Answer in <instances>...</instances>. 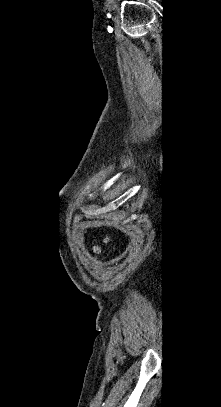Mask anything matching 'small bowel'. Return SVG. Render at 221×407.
<instances>
[{"label":"small bowel","instance_id":"c3829d8e","mask_svg":"<svg viewBox=\"0 0 221 407\" xmlns=\"http://www.w3.org/2000/svg\"><path fill=\"white\" fill-rule=\"evenodd\" d=\"M94 248H95V250H96V251H98V250H99V247H98V246H95Z\"/></svg>","mask_w":221,"mask_h":407}]
</instances>
